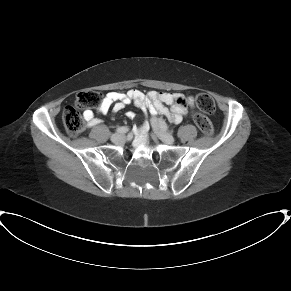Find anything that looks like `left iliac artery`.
Masks as SVG:
<instances>
[{
	"mask_svg": "<svg viewBox=\"0 0 291 291\" xmlns=\"http://www.w3.org/2000/svg\"><path fill=\"white\" fill-rule=\"evenodd\" d=\"M161 128L167 129V125L164 123V124L161 125Z\"/></svg>",
	"mask_w": 291,
	"mask_h": 291,
	"instance_id": "left-iliac-artery-1",
	"label": "left iliac artery"
}]
</instances>
